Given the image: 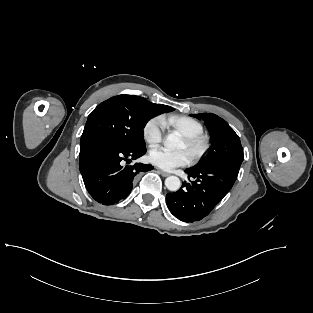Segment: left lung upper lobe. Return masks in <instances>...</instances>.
Masks as SVG:
<instances>
[{"mask_svg":"<svg viewBox=\"0 0 313 313\" xmlns=\"http://www.w3.org/2000/svg\"><path fill=\"white\" fill-rule=\"evenodd\" d=\"M191 116L205 121L212 143L207 156L194 167L220 163H242L244 155L240 139L225 120L211 113L192 114Z\"/></svg>","mask_w":313,"mask_h":313,"instance_id":"1","label":"left lung upper lobe"}]
</instances>
